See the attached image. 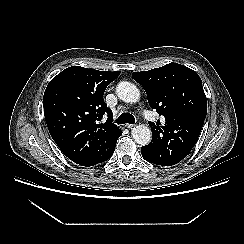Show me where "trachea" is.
Instances as JSON below:
<instances>
[{
	"instance_id": "obj_1",
	"label": "trachea",
	"mask_w": 244,
	"mask_h": 244,
	"mask_svg": "<svg viewBox=\"0 0 244 244\" xmlns=\"http://www.w3.org/2000/svg\"><path fill=\"white\" fill-rule=\"evenodd\" d=\"M116 123L118 124H125V123H129V124H134L135 123V118L132 114L130 113H122L117 119H116Z\"/></svg>"
}]
</instances>
